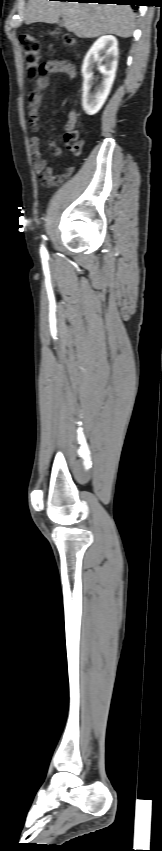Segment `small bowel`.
<instances>
[{
	"label": "small bowel",
	"instance_id": "c3829d8e",
	"mask_svg": "<svg viewBox=\"0 0 162 851\" xmlns=\"http://www.w3.org/2000/svg\"><path fill=\"white\" fill-rule=\"evenodd\" d=\"M55 73H64L70 78H73L75 77L76 70L74 65L68 61H48L43 64L42 75L36 80L35 88L31 93L29 101L30 125L33 130L38 129V112L41 105L42 92L49 84L48 75ZM68 138L71 137L68 136ZM50 147L53 149L55 155L60 156L62 154L61 149L57 147L54 140L50 142ZM72 148L74 149V146ZM31 154L34 159L35 172L41 176L47 185H54L53 171L43 158L41 139L38 135H33L31 138Z\"/></svg>",
	"mask_w": 162,
	"mask_h": 851
}]
</instances>
